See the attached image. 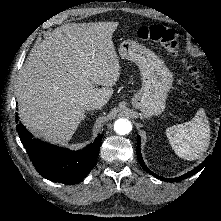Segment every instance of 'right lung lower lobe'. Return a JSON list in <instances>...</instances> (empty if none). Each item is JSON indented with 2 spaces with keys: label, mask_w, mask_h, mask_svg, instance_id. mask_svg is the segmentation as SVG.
<instances>
[{
  "label": "right lung lower lobe",
  "mask_w": 221,
  "mask_h": 221,
  "mask_svg": "<svg viewBox=\"0 0 221 221\" xmlns=\"http://www.w3.org/2000/svg\"><path fill=\"white\" fill-rule=\"evenodd\" d=\"M16 127L36 170L48 180L76 184L89 174L97 161L103 135L99 134L95 141L83 150L72 151L34 139L21 123Z\"/></svg>",
  "instance_id": "98d812e1"
}]
</instances>
